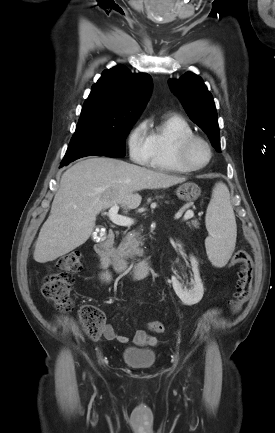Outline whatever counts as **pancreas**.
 I'll return each instance as SVG.
<instances>
[{"mask_svg": "<svg viewBox=\"0 0 275 433\" xmlns=\"http://www.w3.org/2000/svg\"><path fill=\"white\" fill-rule=\"evenodd\" d=\"M199 222L192 220L189 226L196 229L199 228ZM140 238L139 233L135 231L128 232L125 237L122 238L121 243L118 246V251L126 259H133L135 256H141L143 251L140 249Z\"/></svg>", "mask_w": 275, "mask_h": 433, "instance_id": "obj_1", "label": "pancreas"}]
</instances>
